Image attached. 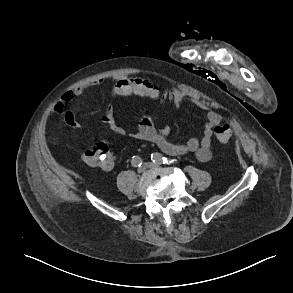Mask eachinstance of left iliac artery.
<instances>
[{"mask_svg": "<svg viewBox=\"0 0 293 293\" xmlns=\"http://www.w3.org/2000/svg\"><path fill=\"white\" fill-rule=\"evenodd\" d=\"M151 160L157 164H167V165H170L171 163L177 162L176 159L171 160V159L164 157L162 154L157 153V152L151 154Z\"/></svg>", "mask_w": 293, "mask_h": 293, "instance_id": "44dca946", "label": "left iliac artery"}]
</instances>
